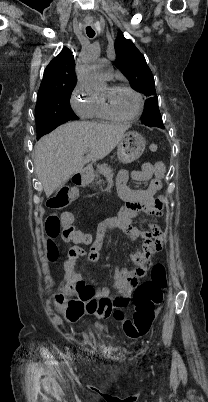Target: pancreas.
Wrapping results in <instances>:
<instances>
[{
	"instance_id": "cf45deb5",
	"label": "pancreas",
	"mask_w": 208,
	"mask_h": 402,
	"mask_svg": "<svg viewBox=\"0 0 208 402\" xmlns=\"http://www.w3.org/2000/svg\"><path fill=\"white\" fill-rule=\"evenodd\" d=\"M109 170H111V168H108L107 164H103V166H98L97 172H90V170H87V172L88 176H92V178H98V174H105V172H109Z\"/></svg>"
}]
</instances>
